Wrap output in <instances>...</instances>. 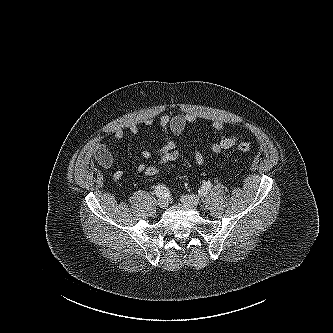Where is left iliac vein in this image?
I'll list each match as a JSON object with an SVG mask.
<instances>
[{
  "mask_svg": "<svg viewBox=\"0 0 333 333\" xmlns=\"http://www.w3.org/2000/svg\"><path fill=\"white\" fill-rule=\"evenodd\" d=\"M181 201L185 205L196 207L200 203V198L196 195H184Z\"/></svg>",
  "mask_w": 333,
  "mask_h": 333,
  "instance_id": "4c4485c4",
  "label": "left iliac vein"
}]
</instances>
